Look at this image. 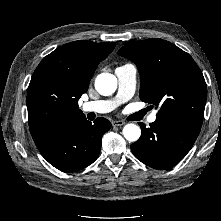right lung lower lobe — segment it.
<instances>
[{
	"label": "right lung lower lobe",
	"mask_w": 221,
	"mask_h": 221,
	"mask_svg": "<svg viewBox=\"0 0 221 221\" xmlns=\"http://www.w3.org/2000/svg\"><path fill=\"white\" fill-rule=\"evenodd\" d=\"M110 127L105 118L99 117L92 124L83 117L49 127L33 136V140L52 166L63 172H75L97 159L102 136Z\"/></svg>",
	"instance_id": "98d812e1"
}]
</instances>
